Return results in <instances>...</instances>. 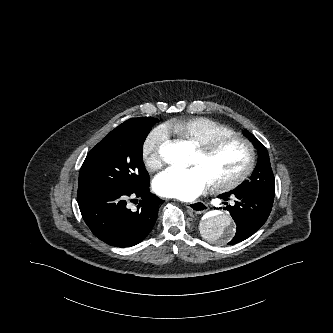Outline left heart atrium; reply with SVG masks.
<instances>
[{
  "label": "left heart atrium",
  "instance_id": "39dd6f15",
  "mask_svg": "<svg viewBox=\"0 0 333 333\" xmlns=\"http://www.w3.org/2000/svg\"><path fill=\"white\" fill-rule=\"evenodd\" d=\"M210 184L211 180L198 165L188 168L170 167L154 181L158 194L183 201L198 197Z\"/></svg>",
  "mask_w": 333,
  "mask_h": 333
}]
</instances>
